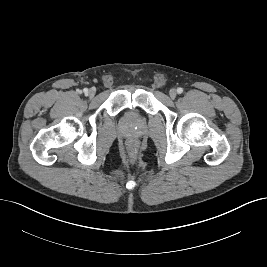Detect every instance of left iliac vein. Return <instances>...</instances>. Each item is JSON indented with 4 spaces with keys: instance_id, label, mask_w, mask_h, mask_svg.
<instances>
[{
    "instance_id": "obj_1",
    "label": "left iliac vein",
    "mask_w": 267,
    "mask_h": 267,
    "mask_svg": "<svg viewBox=\"0 0 267 267\" xmlns=\"http://www.w3.org/2000/svg\"><path fill=\"white\" fill-rule=\"evenodd\" d=\"M169 95H170V97H171L172 99H174V98L176 97V95H177V91H176V89H171V90L169 91Z\"/></svg>"
}]
</instances>
